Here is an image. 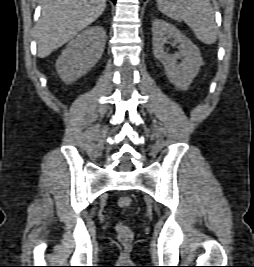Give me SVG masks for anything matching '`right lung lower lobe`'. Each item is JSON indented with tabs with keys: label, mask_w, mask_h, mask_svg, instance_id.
Segmentation results:
<instances>
[{
	"label": "right lung lower lobe",
	"mask_w": 254,
	"mask_h": 267,
	"mask_svg": "<svg viewBox=\"0 0 254 267\" xmlns=\"http://www.w3.org/2000/svg\"><path fill=\"white\" fill-rule=\"evenodd\" d=\"M113 3H116V0H111Z\"/></svg>",
	"instance_id": "obj_1"
}]
</instances>
